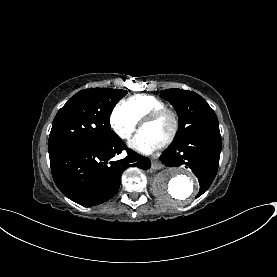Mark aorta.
Listing matches in <instances>:
<instances>
[{
  "instance_id": "obj_1",
  "label": "aorta",
  "mask_w": 277,
  "mask_h": 277,
  "mask_svg": "<svg viewBox=\"0 0 277 277\" xmlns=\"http://www.w3.org/2000/svg\"><path fill=\"white\" fill-rule=\"evenodd\" d=\"M198 188L196 177L185 169H164L153 182L157 197L171 205L188 202L196 195Z\"/></svg>"
}]
</instances>
